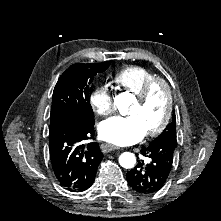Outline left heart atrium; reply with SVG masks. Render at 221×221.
Masks as SVG:
<instances>
[{"label": "left heart atrium", "instance_id": "obj_1", "mask_svg": "<svg viewBox=\"0 0 221 221\" xmlns=\"http://www.w3.org/2000/svg\"><path fill=\"white\" fill-rule=\"evenodd\" d=\"M99 134L106 142L124 146L140 141L146 131L135 116H115L100 124Z\"/></svg>", "mask_w": 221, "mask_h": 221}]
</instances>
